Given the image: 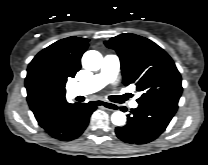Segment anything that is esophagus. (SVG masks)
<instances>
[{
	"instance_id": "1",
	"label": "esophagus",
	"mask_w": 208,
	"mask_h": 165,
	"mask_svg": "<svg viewBox=\"0 0 208 165\" xmlns=\"http://www.w3.org/2000/svg\"><path fill=\"white\" fill-rule=\"evenodd\" d=\"M96 104L99 107H103L109 111H115L117 109V105H115L111 102L105 101V100H97Z\"/></svg>"
}]
</instances>
